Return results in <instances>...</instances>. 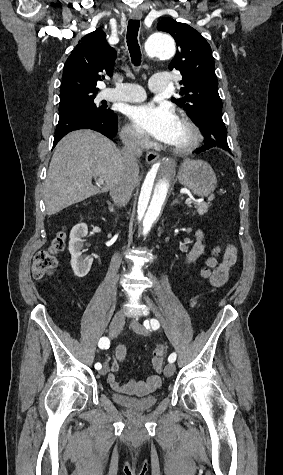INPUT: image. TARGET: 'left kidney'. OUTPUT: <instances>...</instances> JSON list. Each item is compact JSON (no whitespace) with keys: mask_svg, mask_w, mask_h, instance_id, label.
Masks as SVG:
<instances>
[{"mask_svg":"<svg viewBox=\"0 0 283 475\" xmlns=\"http://www.w3.org/2000/svg\"><path fill=\"white\" fill-rule=\"evenodd\" d=\"M195 236L197 241L194 243L191 251H189L186 257L188 263H190V261H196L197 257H199L201 253H204V245H202V239L204 238L203 232H201V230H197Z\"/></svg>","mask_w":283,"mask_h":475,"instance_id":"left-kidney-1","label":"left kidney"}]
</instances>
